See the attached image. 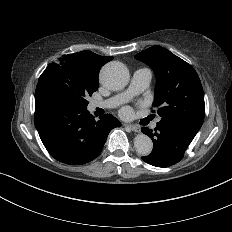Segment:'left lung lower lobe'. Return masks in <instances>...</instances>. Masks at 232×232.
Listing matches in <instances>:
<instances>
[{
  "instance_id": "0a47b994",
  "label": "left lung lower lobe",
  "mask_w": 232,
  "mask_h": 232,
  "mask_svg": "<svg viewBox=\"0 0 232 232\" xmlns=\"http://www.w3.org/2000/svg\"><path fill=\"white\" fill-rule=\"evenodd\" d=\"M142 132L153 141L151 154L142 157V160L156 167H168L181 161L191 143L183 136L159 125L154 131L143 127Z\"/></svg>"
}]
</instances>
